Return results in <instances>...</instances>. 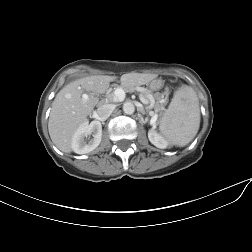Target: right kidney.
<instances>
[{
	"label": "right kidney",
	"instance_id": "ca27d5eb",
	"mask_svg": "<svg viewBox=\"0 0 252 252\" xmlns=\"http://www.w3.org/2000/svg\"><path fill=\"white\" fill-rule=\"evenodd\" d=\"M93 136L88 142L85 138L89 135ZM102 138V125L100 121H92L83 123L74 133L72 137L71 147L77 154H86L98 147Z\"/></svg>",
	"mask_w": 252,
	"mask_h": 252
}]
</instances>
